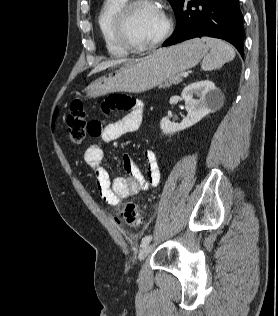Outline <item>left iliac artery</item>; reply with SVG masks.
Listing matches in <instances>:
<instances>
[{
	"label": "left iliac artery",
	"mask_w": 278,
	"mask_h": 316,
	"mask_svg": "<svg viewBox=\"0 0 278 316\" xmlns=\"http://www.w3.org/2000/svg\"><path fill=\"white\" fill-rule=\"evenodd\" d=\"M151 239H152V236H151V235L145 236V237L142 239L140 246H141L142 248L146 247V246L150 243Z\"/></svg>",
	"instance_id": "obj_1"
}]
</instances>
